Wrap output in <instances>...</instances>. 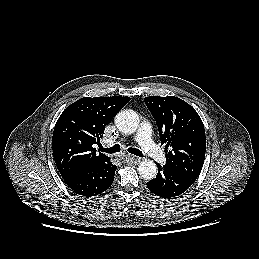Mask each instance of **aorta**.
Returning a JSON list of instances; mask_svg holds the SVG:
<instances>
[{
    "label": "aorta",
    "instance_id": "obj_1",
    "mask_svg": "<svg viewBox=\"0 0 259 259\" xmlns=\"http://www.w3.org/2000/svg\"><path fill=\"white\" fill-rule=\"evenodd\" d=\"M115 124L120 132L133 134L138 128L139 118L135 111L123 110L115 116ZM137 170L144 180L154 179L157 175V166L153 161H142Z\"/></svg>",
    "mask_w": 259,
    "mask_h": 259
}]
</instances>
